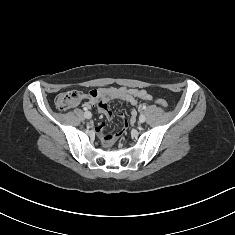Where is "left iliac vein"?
Returning <instances> with one entry per match:
<instances>
[{"instance_id":"4c4485c4","label":"left iliac vein","mask_w":235,"mask_h":235,"mask_svg":"<svg viewBox=\"0 0 235 235\" xmlns=\"http://www.w3.org/2000/svg\"><path fill=\"white\" fill-rule=\"evenodd\" d=\"M145 120H146V117H145V115H140V117H139V122L140 123H144L145 122Z\"/></svg>"}]
</instances>
